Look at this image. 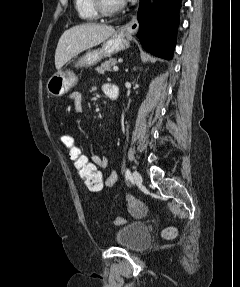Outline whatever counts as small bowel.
<instances>
[{
    "label": "small bowel",
    "mask_w": 240,
    "mask_h": 287,
    "mask_svg": "<svg viewBox=\"0 0 240 287\" xmlns=\"http://www.w3.org/2000/svg\"><path fill=\"white\" fill-rule=\"evenodd\" d=\"M111 84H104L102 89L103 92L107 95V92L110 88ZM70 101L72 102L73 110L76 114H80L82 112V100L81 95L78 92H72L69 96ZM90 159L95 163V165L99 169H105L108 166V159L103 154H94L90 156ZM117 178L116 171H111L110 174L107 177H104V185L110 186L112 185ZM125 200L128 206L129 211L135 215L138 216V212H142L143 214L147 211L146 205L135 198L133 195L127 194L125 196Z\"/></svg>",
    "instance_id": "small-bowel-1"
}]
</instances>
